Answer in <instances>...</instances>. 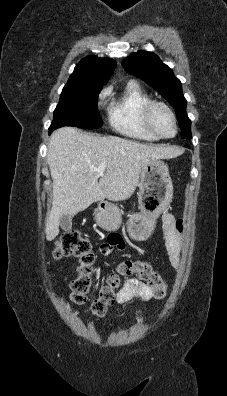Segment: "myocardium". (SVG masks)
I'll return each instance as SVG.
<instances>
[{"label":"myocardium","mask_w":227,"mask_h":396,"mask_svg":"<svg viewBox=\"0 0 227 396\" xmlns=\"http://www.w3.org/2000/svg\"><path fill=\"white\" fill-rule=\"evenodd\" d=\"M157 107H161L164 108L172 117L173 122H174V127H175V131L174 134L171 136H165L162 135L155 127L154 123H153V112L155 110V108ZM143 121L144 124L146 126V128L153 133L155 136H157L158 138L161 139H170V138H174L177 133H178V119L177 116L174 112V110L164 101H160V100H150L144 107L143 110Z\"/></svg>","instance_id":"myocardium-1"}]
</instances>
